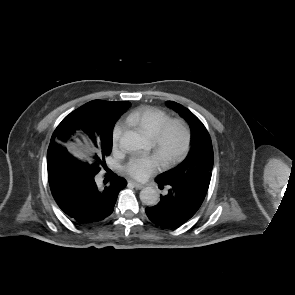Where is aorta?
Masks as SVG:
<instances>
[{
  "instance_id": "1",
  "label": "aorta",
  "mask_w": 295,
  "mask_h": 295,
  "mask_svg": "<svg viewBox=\"0 0 295 295\" xmlns=\"http://www.w3.org/2000/svg\"><path fill=\"white\" fill-rule=\"evenodd\" d=\"M120 146L128 151H137L145 147V140L135 131H127L120 138ZM140 200L147 206H154L159 202L156 189L146 187L140 191Z\"/></svg>"
}]
</instances>
